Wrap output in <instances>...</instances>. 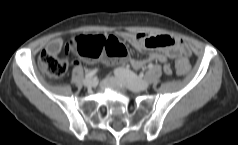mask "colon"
Returning <instances> with one entry per match:
<instances>
[{"label":"colon","instance_id":"5ec220e1","mask_svg":"<svg viewBox=\"0 0 238 145\" xmlns=\"http://www.w3.org/2000/svg\"><path fill=\"white\" fill-rule=\"evenodd\" d=\"M68 49L74 54L93 61L105 58L111 64L122 63L127 59L128 51L123 43L114 36L81 35L72 38ZM40 69L52 77L63 76L68 68V62L44 50L38 58ZM176 72L179 75L186 74L190 70V64L186 58H180L175 62Z\"/></svg>","mask_w":238,"mask_h":145}]
</instances>
